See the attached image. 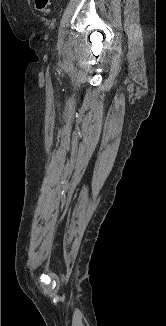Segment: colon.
I'll return each instance as SVG.
<instances>
[{
	"label": "colon",
	"mask_w": 166,
	"mask_h": 326,
	"mask_svg": "<svg viewBox=\"0 0 166 326\" xmlns=\"http://www.w3.org/2000/svg\"><path fill=\"white\" fill-rule=\"evenodd\" d=\"M49 5L50 0H35L36 9L45 15L49 13Z\"/></svg>",
	"instance_id": "5ec220e1"
}]
</instances>
